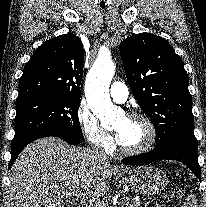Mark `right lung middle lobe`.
<instances>
[{"mask_svg": "<svg viewBox=\"0 0 206 207\" xmlns=\"http://www.w3.org/2000/svg\"><path fill=\"white\" fill-rule=\"evenodd\" d=\"M15 135L12 146L45 131L83 139L77 111L80 98L35 95L16 100Z\"/></svg>", "mask_w": 206, "mask_h": 207, "instance_id": "obj_1", "label": "right lung middle lobe"}]
</instances>
